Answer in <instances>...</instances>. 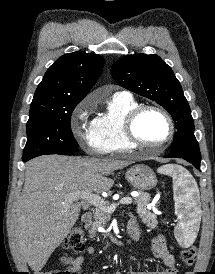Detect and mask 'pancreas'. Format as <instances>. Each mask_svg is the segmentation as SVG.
<instances>
[{
  "label": "pancreas",
  "mask_w": 215,
  "mask_h": 274,
  "mask_svg": "<svg viewBox=\"0 0 215 274\" xmlns=\"http://www.w3.org/2000/svg\"><path fill=\"white\" fill-rule=\"evenodd\" d=\"M151 201L150 195L146 192L139 191L138 196L135 198V203L137 204V213L139 216L146 222L150 219H153L155 216L148 209V205ZM106 205H110L109 202H106ZM110 218V214L104 212L100 208H96L93 213V221H90L86 224V228L89 230L91 237L97 235L98 227H104L107 221ZM157 222H152V225H156Z\"/></svg>",
  "instance_id": "cf45deb5"
}]
</instances>
